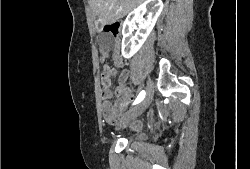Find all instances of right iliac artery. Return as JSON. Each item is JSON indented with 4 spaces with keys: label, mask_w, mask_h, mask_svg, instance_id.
<instances>
[{
    "label": "right iliac artery",
    "mask_w": 250,
    "mask_h": 169,
    "mask_svg": "<svg viewBox=\"0 0 250 169\" xmlns=\"http://www.w3.org/2000/svg\"><path fill=\"white\" fill-rule=\"evenodd\" d=\"M145 95H146L145 91L144 90L141 91L136 100L134 101L133 105L140 103L144 99Z\"/></svg>",
    "instance_id": "1"
}]
</instances>
